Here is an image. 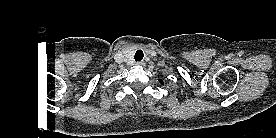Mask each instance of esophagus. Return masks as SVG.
<instances>
[{"label":"esophagus","instance_id":"obj_1","mask_svg":"<svg viewBox=\"0 0 276 138\" xmlns=\"http://www.w3.org/2000/svg\"><path fill=\"white\" fill-rule=\"evenodd\" d=\"M136 65H139V66H145V62H143V61L136 62Z\"/></svg>","mask_w":276,"mask_h":138}]
</instances>
